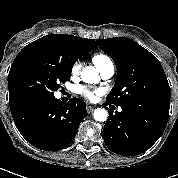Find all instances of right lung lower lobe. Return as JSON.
<instances>
[{
    "instance_id": "98d812e1",
    "label": "right lung lower lobe",
    "mask_w": 178,
    "mask_h": 178,
    "mask_svg": "<svg viewBox=\"0 0 178 178\" xmlns=\"http://www.w3.org/2000/svg\"><path fill=\"white\" fill-rule=\"evenodd\" d=\"M9 105L21 135L45 151L69 146L81 121L88 115L86 104L75 97L64 104L54 95H14L9 96Z\"/></svg>"
}]
</instances>
